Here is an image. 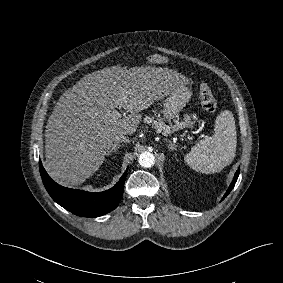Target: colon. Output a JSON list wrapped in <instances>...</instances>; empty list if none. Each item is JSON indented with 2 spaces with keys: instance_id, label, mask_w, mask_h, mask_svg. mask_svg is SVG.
Instances as JSON below:
<instances>
[{
  "instance_id": "5ec220e1",
  "label": "colon",
  "mask_w": 283,
  "mask_h": 283,
  "mask_svg": "<svg viewBox=\"0 0 283 283\" xmlns=\"http://www.w3.org/2000/svg\"><path fill=\"white\" fill-rule=\"evenodd\" d=\"M147 61L153 64H163L166 58L160 54H150ZM199 97L203 109L207 112H214L217 109V101L213 96L211 88L207 84H201L199 87Z\"/></svg>"
}]
</instances>
